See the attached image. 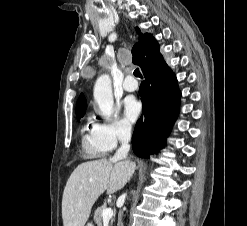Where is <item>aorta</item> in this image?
<instances>
[{
    "instance_id": "obj_1",
    "label": "aorta",
    "mask_w": 247,
    "mask_h": 226,
    "mask_svg": "<svg viewBox=\"0 0 247 226\" xmlns=\"http://www.w3.org/2000/svg\"><path fill=\"white\" fill-rule=\"evenodd\" d=\"M94 100L105 117H110L113 113V93L112 81L108 74L101 75L94 85Z\"/></svg>"
}]
</instances>
